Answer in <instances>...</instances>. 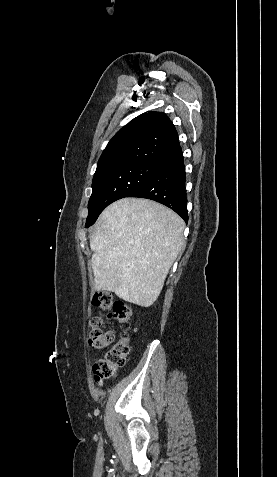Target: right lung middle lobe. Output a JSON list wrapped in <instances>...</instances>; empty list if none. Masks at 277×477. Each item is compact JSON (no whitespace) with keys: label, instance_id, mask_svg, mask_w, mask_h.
<instances>
[{"label":"right lung middle lobe","instance_id":"1","mask_svg":"<svg viewBox=\"0 0 277 477\" xmlns=\"http://www.w3.org/2000/svg\"><path fill=\"white\" fill-rule=\"evenodd\" d=\"M158 167L145 164H126L95 173L93 192L89 199L86 227L95 223L100 213L112 202L128 197L143 185Z\"/></svg>","mask_w":277,"mask_h":477}]
</instances>
